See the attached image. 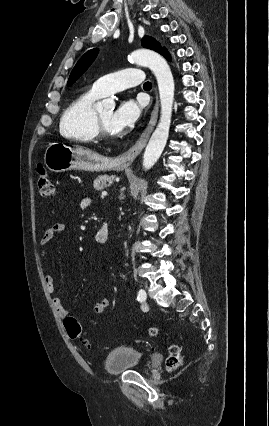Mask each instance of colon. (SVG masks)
I'll use <instances>...</instances> for the list:
<instances>
[{
  "mask_svg": "<svg viewBox=\"0 0 269 426\" xmlns=\"http://www.w3.org/2000/svg\"><path fill=\"white\" fill-rule=\"evenodd\" d=\"M37 187L40 195L50 197L54 193V186L48 174L46 167L43 164L38 165L37 169ZM65 328L68 336L71 339L79 340L85 346L90 347V342L84 337L82 329L78 320L73 316L65 318ZM151 336H156L158 330L151 328L149 331ZM182 364V355L180 348L177 345L169 347V358L167 360V367L169 370L174 371Z\"/></svg>",
  "mask_w": 269,
  "mask_h": 426,
  "instance_id": "1",
  "label": "colon"
}]
</instances>
